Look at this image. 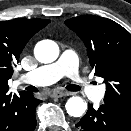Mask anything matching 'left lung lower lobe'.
<instances>
[{
  "instance_id": "obj_1",
  "label": "left lung lower lobe",
  "mask_w": 131,
  "mask_h": 131,
  "mask_svg": "<svg viewBox=\"0 0 131 131\" xmlns=\"http://www.w3.org/2000/svg\"><path fill=\"white\" fill-rule=\"evenodd\" d=\"M79 131H131V118L108 106L98 110L89 104L87 113L76 124Z\"/></svg>"
}]
</instances>
